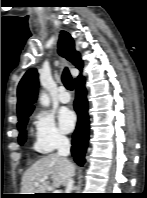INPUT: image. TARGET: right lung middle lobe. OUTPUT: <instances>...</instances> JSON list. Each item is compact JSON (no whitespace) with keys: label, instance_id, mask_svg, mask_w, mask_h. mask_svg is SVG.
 <instances>
[{"label":"right lung middle lobe","instance_id":"1","mask_svg":"<svg viewBox=\"0 0 147 198\" xmlns=\"http://www.w3.org/2000/svg\"><path fill=\"white\" fill-rule=\"evenodd\" d=\"M27 120H28V117L18 123V131H19L18 142L20 145H22L26 141L25 128H26Z\"/></svg>","mask_w":147,"mask_h":198}]
</instances>
